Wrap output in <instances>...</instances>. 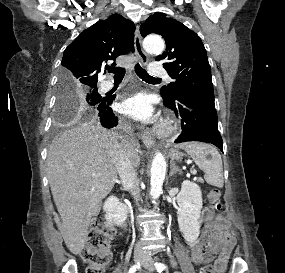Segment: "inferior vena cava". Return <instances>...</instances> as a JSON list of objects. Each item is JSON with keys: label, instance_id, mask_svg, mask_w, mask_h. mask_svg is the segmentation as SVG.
<instances>
[{"label": "inferior vena cava", "instance_id": "1", "mask_svg": "<svg viewBox=\"0 0 285 273\" xmlns=\"http://www.w3.org/2000/svg\"><path fill=\"white\" fill-rule=\"evenodd\" d=\"M114 165L122 184L129 189L131 195L138 201L140 190L137 173L122 144L116 146L114 152ZM134 252L136 254L145 253L140 243L136 244Z\"/></svg>", "mask_w": 285, "mask_h": 273}]
</instances>
